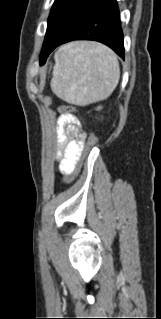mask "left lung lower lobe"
<instances>
[{"label": "left lung lower lobe", "instance_id": "left-lung-lower-lobe-1", "mask_svg": "<svg viewBox=\"0 0 161 319\" xmlns=\"http://www.w3.org/2000/svg\"><path fill=\"white\" fill-rule=\"evenodd\" d=\"M74 40L101 42L124 59L123 32L120 26L117 1L101 0L95 5L60 40L45 51L43 63L57 46Z\"/></svg>", "mask_w": 161, "mask_h": 319}]
</instances>
